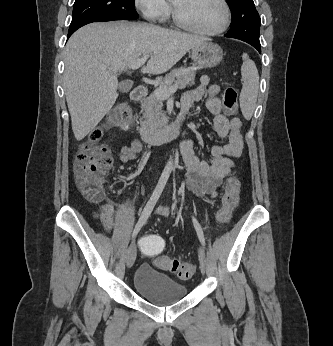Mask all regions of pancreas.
I'll list each match as a JSON object with an SVG mask.
<instances>
[{"instance_id":"cf45deb5","label":"pancreas","mask_w":333,"mask_h":346,"mask_svg":"<svg viewBox=\"0 0 333 346\" xmlns=\"http://www.w3.org/2000/svg\"><path fill=\"white\" fill-rule=\"evenodd\" d=\"M195 70L180 67L172 70L163 79L158 81V88H169L178 84L180 89L194 85ZM163 99L156 96L155 92L142 101V119L140 121L144 130L157 131L168 123V118L162 110Z\"/></svg>"}]
</instances>
